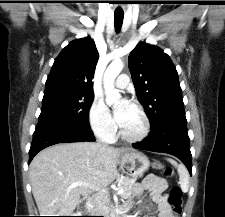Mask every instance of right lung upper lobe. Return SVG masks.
Segmentation results:
<instances>
[{"mask_svg": "<svg viewBox=\"0 0 225 217\" xmlns=\"http://www.w3.org/2000/svg\"><path fill=\"white\" fill-rule=\"evenodd\" d=\"M98 59L99 53L90 37L70 42L55 59L45 84V93L94 94L92 79Z\"/></svg>", "mask_w": 225, "mask_h": 217, "instance_id": "obj_1", "label": "right lung upper lobe"}]
</instances>
